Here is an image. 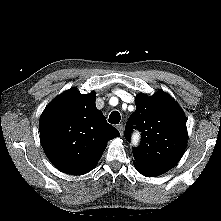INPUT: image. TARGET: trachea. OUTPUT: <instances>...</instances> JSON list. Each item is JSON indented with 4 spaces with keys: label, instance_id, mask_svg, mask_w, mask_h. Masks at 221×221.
Returning <instances> with one entry per match:
<instances>
[{
    "label": "trachea",
    "instance_id": "trachea-1",
    "mask_svg": "<svg viewBox=\"0 0 221 221\" xmlns=\"http://www.w3.org/2000/svg\"><path fill=\"white\" fill-rule=\"evenodd\" d=\"M121 120V116L120 113L118 111H113L111 112L110 116H109V123L111 124H119Z\"/></svg>",
    "mask_w": 221,
    "mask_h": 221
}]
</instances>
